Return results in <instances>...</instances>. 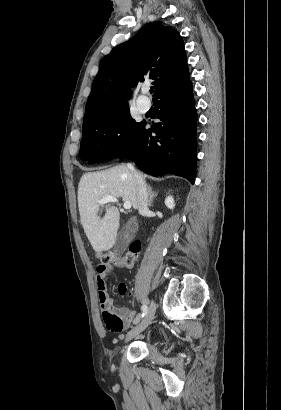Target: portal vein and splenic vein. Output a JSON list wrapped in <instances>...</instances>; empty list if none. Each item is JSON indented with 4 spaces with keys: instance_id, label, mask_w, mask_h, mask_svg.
Instances as JSON below:
<instances>
[{
    "instance_id": "18ae733b",
    "label": "portal vein and splenic vein",
    "mask_w": 281,
    "mask_h": 410,
    "mask_svg": "<svg viewBox=\"0 0 281 410\" xmlns=\"http://www.w3.org/2000/svg\"><path fill=\"white\" fill-rule=\"evenodd\" d=\"M108 202H113V203H117L118 199L115 196H106L104 198H102L101 200L98 201L99 204L104 205ZM124 209L129 210L131 208V203L126 201L123 204Z\"/></svg>"
}]
</instances>
